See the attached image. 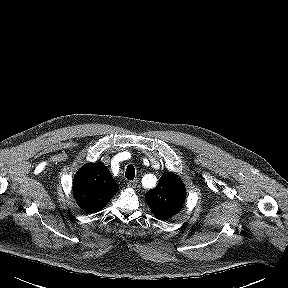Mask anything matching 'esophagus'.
<instances>
[{
  "label": "esophagus",
  "mask_w": 288,
  "mask_h": 288,
  "mask_svg": "<svg viewBox=\"0 0 288 288\" xmlns=\"http://www.w3.org/2000/svg\"><path fill=\"white\" fill-rule=\"evenodd\" d=\"M127 186H128L129 188H136V186H137V180L128 181V182H127Z\"/></svg>",
  "instance_id": "34e87169"
}]
</instances>
